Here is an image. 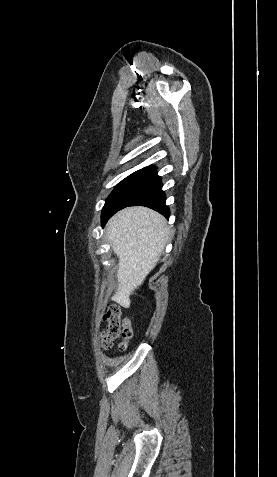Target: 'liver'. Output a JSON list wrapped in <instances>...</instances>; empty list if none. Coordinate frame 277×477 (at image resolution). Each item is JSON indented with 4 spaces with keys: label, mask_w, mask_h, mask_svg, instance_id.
I'll list each match as a JSON object with an SVG mask.
<instances>
[{
    "label": "liver",
    "mask_w": 277,
    "mask_h": 477,
    "mask_svg": "<svg viewBox=\"0 0 277 477\" xmlns=\"http://www.w3.org/2000/svg\"><path fill=\"white\" fill-rule=\"evenodd\" d=\"M106 235L119 259L112 300L130 307V295L156 266L168 240L166 219L146 207H128L108 222Z\"/></svg>",
    "instance_id": "1"
}]
</instances>
